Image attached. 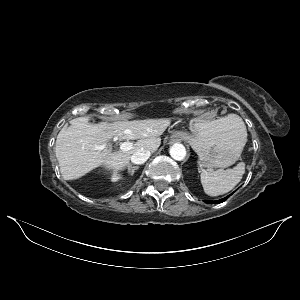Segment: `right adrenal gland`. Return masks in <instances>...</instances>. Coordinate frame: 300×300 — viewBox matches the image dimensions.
I'll return each instance as SVG.
<instances>
[{
    "label": "right adrenal gland",
    "instance_id": "obj_1",
    "mask_svg": "<svg viewBox=\"0 0 300 300\" xmlns=\"http://www.w3.org/2000/svg\"><path fill=\"white\" fill-rule=\"evenodd\" d=\"M138 168H139L138 166H129L128 167V172L132 176L134 174L135 170H137Z\"/></svg>",
    "mask_w": 300,
    "mask_h": 300
}]
</instances>
